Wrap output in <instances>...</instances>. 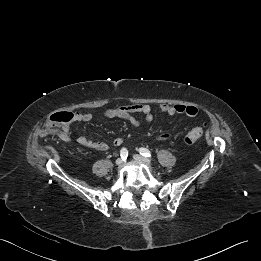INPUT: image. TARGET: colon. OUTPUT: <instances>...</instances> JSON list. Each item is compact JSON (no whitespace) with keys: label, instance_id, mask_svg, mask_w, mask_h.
Masks as SVG:
<instances>
[{"label":"colon","instance_id":"colon-1","mask_svg":"<svg viewBox=\"0 0 261 261\" xmlns=\"http://www.w3.org/2000/svg\"><path fill=\"white\" fill-rule=\"evenodd\" d=\"M74 120V114L71 112H56L49 116L45 128L42 132V135H48V134H57L61 133V131L68 126L70 123H72ZM206 126V123L203 122L201 126L193 128L191 131H189L185 137L184 141L186 144H193L196 142L203 134V127Z\"/></svg>","mask_w":261,"mask_h":261}]
</instances>
